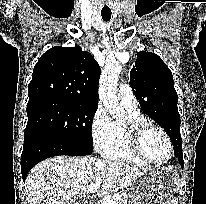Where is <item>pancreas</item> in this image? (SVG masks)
Instances as JSON below:
<instances>
[{"label": "pancreas", "instance_id": "1", "mask_svg": "<svg viewBox=\"0 0 206 204\" xmlns=\"http://www.w3.org/2000/svg\"><path fill=\"white\" fill-rule=\"evenodd\" d=\"M111 199H117V204H129L127 201V195L125 191H119L114 193Z\"/></svg>", "mask_w": 206, "mask_h": 204}]
</instances>
